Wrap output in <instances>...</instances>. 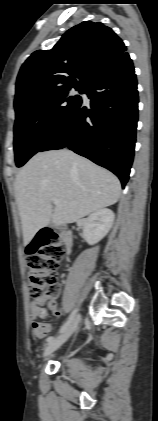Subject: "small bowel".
<instances>
[{
    "instance_id": "obj_1",
    "label": "small bowel",
    "mask_w": 158,
    "mask_h": 421,
    "mask_svg": "<svg viewBox=\"0 0 158 421\" xmlns=\"http://www.w3.org/2000/svg\"><path fill=\"white\" fill-rule=\"evenodd\" d=\"M55 307V304H54ZM55 314H59L55 311ZM31 316H32V329L34 335L38 339L45 338L51 331V326L48 323L42 322L39 319L47 317L46 311H41L40 304L32 303L31 305Z\"/></svg>"
}]
</instances>
